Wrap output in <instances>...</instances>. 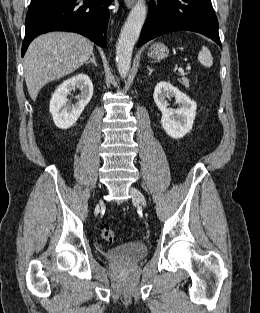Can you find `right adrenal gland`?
Wrapping results in <instances>:
<instances>
[{"instance_id":"2a0ac1e0","label":"right adrenal gland","mask_w":260,"mask_h":313,"mask_svg":"<svg viewBox=\"0 0 260 313\" xmlns=\"http://www.w3.org/2000/svg\"><path fill=\"white\" fill-rule=\"evenodd\" d=\"M93 63L95 66H97V63H96V61H95V55L94 54H92V57H91V59L89 60V61H87L86 62V64H88V63Z\"/></svg>"}]
</instances>
